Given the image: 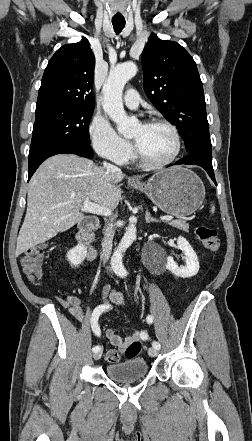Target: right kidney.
I'll use <instances>...</instances> for the list:
<instances>
[{"label": "right kidney", "mask_w": 252, "mask_h": 441, "mask_svg": "<svg viewBox=\"0 0 252 441\" xmlns=\"http://www.w3.org/2000/svg\"><path fill=\"white\" fill-rule=\"evenodd\" d=\"M87 249L84 245H77L67 253V259L74 267H78L85 259Z\"/></svg>", "instance_id": "obj_1"}]
</instances>
